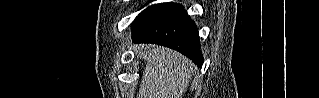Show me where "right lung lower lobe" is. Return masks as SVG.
I'll list each match as a JSON object with an SVG mask.
<instances>
[{"label": "right lung lower lobe", "mask_w": 319, "mask_h": 98, "mask_svg": "<svg viewBox=\"0 0 319 98\" xmlns=\"http://www.w3.org/2000/svg\"><path fill=\"white\" fill-rule=\"evenodd\" d=\"M134 43H155L175 49L201 67L203 63L196 25L179 4H155L132 24Z\"/></svg>", "instance_id": "obj_1"}]
</instances>
